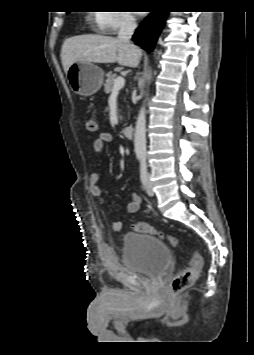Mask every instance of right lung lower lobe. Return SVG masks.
Here are the masks:
<instances>
[{
  "mask_svg": "<svg viewBox=\"0 0 254 355\" xmlns=\"http://www.w3.org/2000/svg\"><path fill=\"white\" fill-rule=\"evenodd\" d=\"M167 15V11L151 13L136 30L133 41L147 51L152 50L165 24Z\"/></svg>",
  "mask_w": 254,
  "mask_h": 355,
  "instance_id": "obj_1",
  "label": "right lung lower lobe"
}]
</instances>
